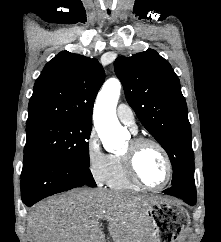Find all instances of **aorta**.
Returning <instances> with one entry per match:
<instances>
[{
	"mask_svg": "<svg viewBox=\"0 0 221 242\" xmlns=\"http://www.w3.org/2000/svg\"><path fill=\"white\" fill-rule=\"evenodd\" d=\"M120 91V81L116 78L108 79L99 92L94 107L95 128L108 151L119 149L127 138L126 130L116 116Z\"/></svg>",
	"mask_w": 221,
	"mask_h": 242,
	"instance_id": "1",
	"label": "aorta"
}]
</instances>
